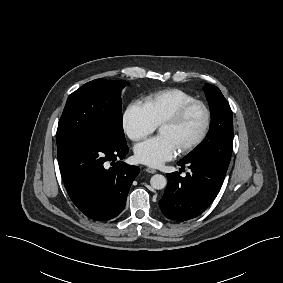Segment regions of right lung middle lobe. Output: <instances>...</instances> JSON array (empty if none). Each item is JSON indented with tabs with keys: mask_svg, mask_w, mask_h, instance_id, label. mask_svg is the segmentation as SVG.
Segmentation results:
<instances>
[{
	"mask_svg": "<svg viewBox=\"0 0 283 283\" xmlns=\"http://www.w3.org/2000/svg\"><path fill=\"white\" fill-rule=\"evenodd\" d=\"M125 85L124 81L96 79L73 92L67 99L58 124L57 149L87 133L98 134L115 142H126L120 96Z\"/></svg>",
	"mask_w": 283,
	"mask_h": 283,
	"instance_id": "dd1d6c3e",
	"label": "right lung middle lobe"
}]
</instances>
